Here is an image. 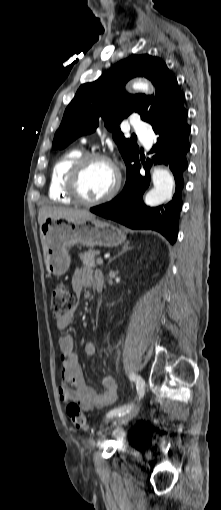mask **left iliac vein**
I'll list each match as a JSON object with an SVG mask.
<instances>
[{
    "instance_id": "4c4485c4",
    "label": "left iliac vein",
    "mask_w": 221,
    "mask_h": 510,
    "mask_svg": "<svg viewBox=\"0 0 221 510\" xmlns=\"http://www.w3.org/2000/svg\"><path fill=\"white\" fill-rule=\"evenodd\" d=\"M142 381L144 382V380L142 379ZM144 386H145V382H144ZM140 410V403H137L133 408H131L128 412H126L124 415H121L120 417H117L115 420H114V424H118V425H124V424H127L129 421H131L134 417H136V415L138 414Z\"/></svg>"
}]
</instances>
